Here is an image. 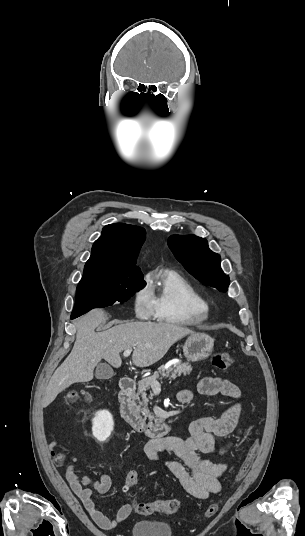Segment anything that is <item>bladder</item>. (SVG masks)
Masks as SVG:
<instances>
[{"instance_id": "1", "label": "bladder", "mask_w": 305, "mask_h": 536, "mask_svg": "<svg viewBox=\"0 0 305 536\" xmlns=\"http://www.w3.org/2000/svg\"><path fill=\"white\" fill-rule=\"evenodd\" d=\"M131 536H174V529L171 523L148 517L132 524Z\"/></svg>"}]
</instances>
